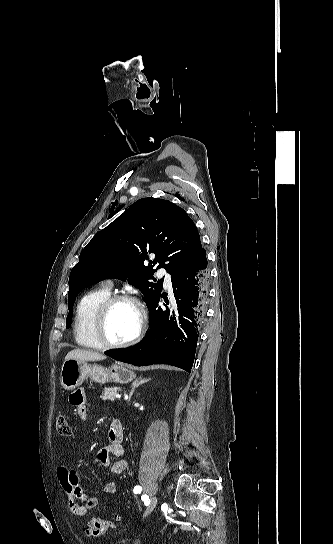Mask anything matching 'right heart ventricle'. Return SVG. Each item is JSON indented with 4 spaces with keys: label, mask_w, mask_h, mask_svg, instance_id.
I'll list each match as a JSON object with an SVG mask.
<instances>
[{
    "label": "right heart ventricle",
    "mask_w": 333,
    "mask_h": 544,
    "mask_svg": "<svg viewBox=\"0 0 333 544\" xmlns=\"http://www.w3.org/2000/svg\"><path fill=\"white\" fill-rule=\"evenodd\" d=\"M110 296V288L102 286L86 292L79 300L74 317V338L79 346L101 349L93 333V321L97 309Z\"/></svg>",
    "instance_id": "obj_1"
}]
</instances>
